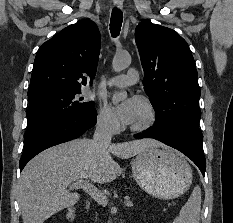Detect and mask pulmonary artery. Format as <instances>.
Instances as JSON below:
<instances>
[{
  "label": "pulmonary artery",
  "instance_id": "pulmonary-artery-1",
  "mask_svg": "<svg viewBox=\"0 0 233 223\" xmlns=\"http://www.w3.org/2000/svg\"><path fill=\"white\" fill-rule=\"evenodd\" d=\"M139 79V73L135 69H130L127 74L117 76L108 81V84H113L118 87H124L135 84Z\"/></svg>",
  "mask_w": 233,
  "mask_h": 223
}]
</instances>
